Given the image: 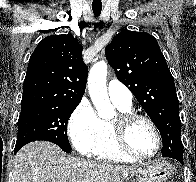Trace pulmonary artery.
<instances>
[{
	"instance_id": "obj_1",
	"label": "pulmonary artery",
	"mask_w": 196,
	"mask_h": 182,
	"mask_svg": "<svg viewBox=\"0 0 196 182\" xmlns=\"http://www.w3.org/2000/svg\"><path fill=\"white\" fill-rule=\"evenodd\" d=\"M108 96L113 102L131 105L132 94L129 89L117 80H111L107 86Z\"/></svg>"
}]
</instances>
